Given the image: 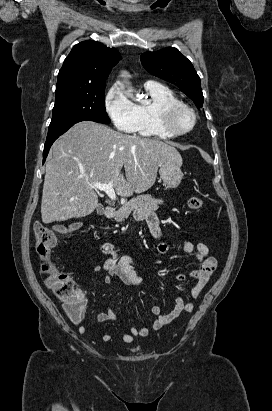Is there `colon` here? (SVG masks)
Returning a JSON list of instances; mask_svg holds the SVG:
<instances>
[{
  "label": "colon",
  "mask_w": 272,
  "mask_h": 411,
  "mask_svg": "<svg viewBox=\"0 0 272 411\" xmlns=\"http://www.w3.org/2000/svg\"><path fill=\"white\" fill-rule=\"evenodd\" d=\"M189 208L200 210L203 200L193 196L188 201ZM78 227L77 224L53 228L43 223L34 224L36 252L41 260V270L45 275L46 285L53 291L55 296L62 301L67 315L73 321H81L84 317L85 300L81 290L75 285L73 279L61 271L50 258L51 249L56 245L59 237L71 232Z\"/></svg>",
  "instance_id": "5ec220e1"
}]
</instances>
